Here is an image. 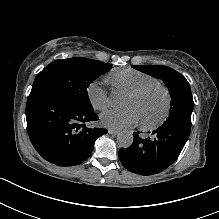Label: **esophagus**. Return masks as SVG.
Wrapping results in <instances>:
<instances>
[{
    "label": "esophagus",
    "instance_id": "esophagus-1",
    "mask_svg": "<svg viewBox=\"0 0 219 219\" xmlns=\"http://www.w3.org/2000/svg\"><path fill=\"white\" fill-rule=\"evenodd\" d=\"M108 133L111 134V135H117V134H119V131L118 130H114V129H109Z\"/></svg>",
    "mask_w": 219,
    "mask_h": 219
}]
</instances>
